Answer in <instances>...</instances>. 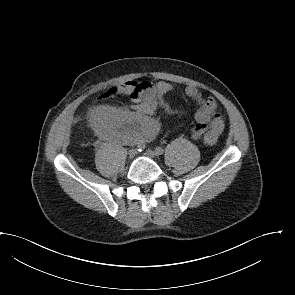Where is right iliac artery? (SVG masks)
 <instances>
[{
    "instance_id": "1",
    "label": "right iliac artery",
    "mask_w": 295,
    "mask_h": 295,
    "mask_svg": "<svg viewBox=\"0 0 295 295\" xmlns=\"http://www.w3.org/2000/svg\"><path fill=\"white\" fill-rule=\"evenodd\" d=\"M137 150H138V151H142V150H144V146L138 145V146H137Z\"/></svg>"
}]
</instances>
